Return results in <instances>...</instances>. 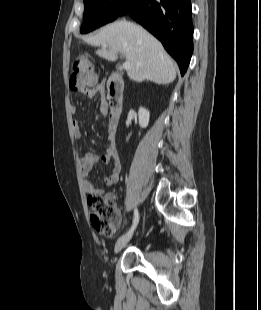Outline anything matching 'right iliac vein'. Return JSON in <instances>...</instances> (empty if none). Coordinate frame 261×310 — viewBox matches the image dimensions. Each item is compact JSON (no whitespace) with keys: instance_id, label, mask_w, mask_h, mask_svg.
I'll use <instances>...</instances> for the list:
<instances>
[{"instance_id":"63e3f726","label":"right iliac vein","mask_w":261,"mask_h":310,"mask_svg":"<svg viewBox=\"0 0 261 310\" xmlns=\"http://www.w3.org/2000/svg\"><path fill=\"white\" fill-rule=\"evenodd\" d=\"M132 237V233L130 234H125L123 235L122 237H120L116 244H115V247H114V252L115 253H118L120 252L125 246L126 244L129 242V240L131 239Z\"/></svg>"}]
</instances>
